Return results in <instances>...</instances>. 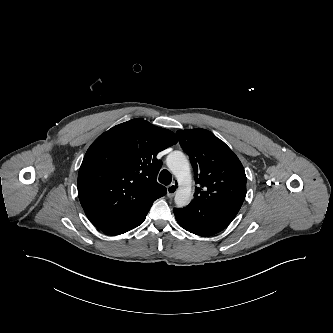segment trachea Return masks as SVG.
Returning <instances> with one entry per match:
<instances>
[{"instance_id": "3493384b", "label": "trachea", "mask_w": 333, "mask_h": 333, "mask_svg": "<svg viewBox=\"0 0 333 333\" xmlns=\"http://www.w3.org/2000/svg\"><path fill=\"white\" fill-rule=\"evenodd\" d=\"M159 182L164 185H169L172 182V175L171 173L164 169L159 174Z\"/></svg>"}]
</instances>
